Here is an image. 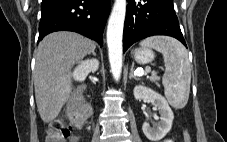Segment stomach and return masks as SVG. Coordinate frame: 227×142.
Here are the masks:
<instances>
[{"label":"stomach","mask_w":227,"mask_h":142,"mask_svg":"<svg viewBox=\"0 0 227 142\" xmlns=\"http://www.w3.org/2000/svg\"><path fill=\"white\" fill-rule=\"evenodd\" d=\"M133 56L136 62L140 64H147L154 59V52L149 48H137L133 52Z\"/></svg>","instance_id":"1"}]
</instances>
